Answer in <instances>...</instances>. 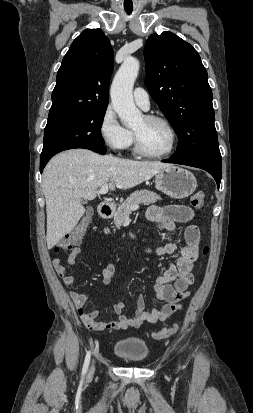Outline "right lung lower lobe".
<instances>
[{
	"mask_svg": "<svg viewBox=\"0 0 253 413\" xmlns=\"http://www.w3.org/2000/svg\"><path fill=\"white\" fill-rule=\"evenodd\" d=\"M74 148H83V149H89L92 150L96 153L102 154L104 155L106 153V148L103 145H91V146H86V145H81V144H70V145H63L60 147H57L51 151H48L44 154H41V158H40V172L43 171L45 165L47 164V162L57 153L64 151V150H68V149H74Z\"/></svg>",
	"mask_w": 253,
	"mask_h": 413,
	"instance_id": "right-lung-lower-lobe-1",
	"label": "right lung lower lobe"
}]
</instances>
